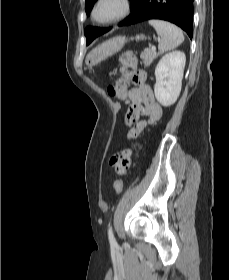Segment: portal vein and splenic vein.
<instances>
[{"label": "portal vein and splenic vein", "mask_w": 229, "mask_h": 280, "mask_svg": "<svg viewBox=\"0 0 229 280\" xmlns=\"http://www.w3.org/2000/svg\"><path fill=\"white\" fill-rule=\"evenodd\" d=\"M151 49L155 51V50H156V47H155V46H152Z\"/></svg>", "instance_id": "obj_1"}]
</instances>
